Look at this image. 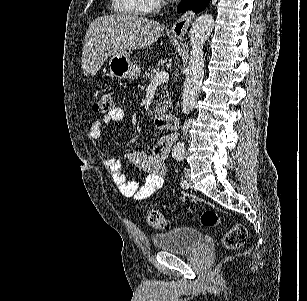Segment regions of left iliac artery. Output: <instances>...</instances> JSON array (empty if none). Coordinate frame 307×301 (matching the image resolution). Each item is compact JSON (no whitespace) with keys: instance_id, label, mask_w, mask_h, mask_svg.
<instances>
[{"instance_id":"obj_1","label":"left iliac artery","mask_w":307,"mask_h":301,"mask_svg":"<svg viewBox=\"0 0 307 301\" xmlns=\"http://www.w3.org/2000/svg\"><path fill=\"white\" fill-rule=\"evenodd\" d=\"M178 160H180V159L178 158ZM186 185H187V181L186 180L182 181L181 186L185 187Z\"/></svg>"}]
</instances>
